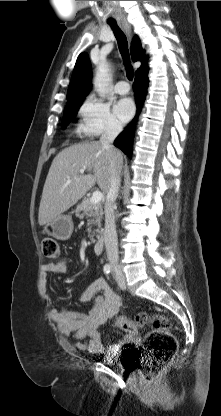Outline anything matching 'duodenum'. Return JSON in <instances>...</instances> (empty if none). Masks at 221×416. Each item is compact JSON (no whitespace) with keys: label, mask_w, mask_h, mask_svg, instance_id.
<instances>
[{"label":"duodenum","mask_w":221,"mask_h":416,"mask_svg":"<svg viewBox=\"0 0 221 416\" xmlns=\"http://www.w3.org/2000/svg\"><path fill=\"white\" fill-rule=\"evenodd\" d=\"M103 248H104V238L103 236H100L93 244V252L96 255H99L102 253Z\"/></svg>","instance_id":"410a0bca"}]
</instances>
